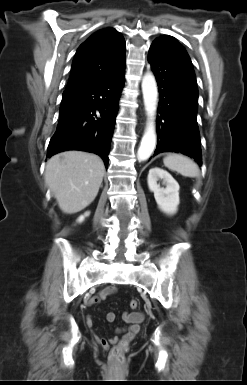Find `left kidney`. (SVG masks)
<instances>
[{
	"instance_id": "left-kidney-1",
	"label": "left kidney",
	"mask_w": 247,
	"mask_h": 385,
	"mask_svg": "<svg viewBox=\"0 0 247 385\" xmlns=\"http://www.w3.org/2000/svg\"><path fill=\"white\" fill-rule=\"evenodd\" d=\"M159 179L163 180L165 188L157 184ZM148 187L154 193L155 200L159 209L168 214L173 215L177 212L179 205V184L166 170L158 167L149 170Z\"/></svg>"
}]
</instances>
